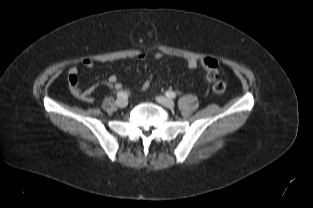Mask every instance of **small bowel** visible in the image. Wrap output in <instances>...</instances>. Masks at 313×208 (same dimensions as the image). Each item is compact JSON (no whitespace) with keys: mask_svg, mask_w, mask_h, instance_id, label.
I'll return each mask as SVG.
<instances>
[{"mask_svg":"<svg viewBox=\"0 0 313 208\" xmlns=\"http://www.w3.org/2000/svg\"><path fill=\"white\" fill-rule=\"evenodd\" d=\"M154 57L156 59H161L162 55L160 53L154 54ZM138 60H146L148 58L147 53H140L135 56ZM81 64L86 68H93L95 65V62L92 58L86 57L82 59ZM187 66L190 69H195L198 66H201L206 71H208L211 68H217L218 64L217 61L214 58L211 57H205L201 60H196L194 58L187 59ZM68 82H69V88L72 93V95L84 102L91 103L94 101V97L92 95L95 88L85 90L82 88V86L79 84V76H78V69L76 67H72L69 70L68 74ZM104 85L111 89H120L122 87L121 82L117 79L116 76H110L104 83Z\"/></svg>","mask_w":313,"mask_h":208,"instance_id":"obj_1","label":"small bowel"}]
</instances>
